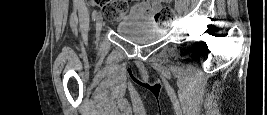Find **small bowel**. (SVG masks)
<instances>
[{"instance_id": "1", "label": "small bowel", "mask_w": 267, "mask_h": 115, "mask_svg": "<svg viewBox=\"0 0 267 115\" xmlns=\"http://www.w3.org/2000/svg\"><path fill=\"white\" fill-rule=\"evenodd\" d=\"M162 2L164 0H144L138 2L131 8L130 18L153 20L155 18V12L161 6Z\"/></svg>"}]
</instances>
